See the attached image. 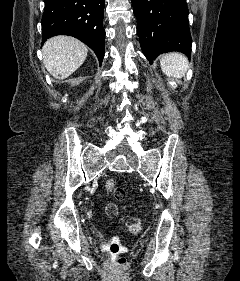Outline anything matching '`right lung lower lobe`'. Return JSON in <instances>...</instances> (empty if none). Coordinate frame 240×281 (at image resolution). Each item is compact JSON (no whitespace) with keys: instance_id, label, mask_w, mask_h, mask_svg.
I'll use <instances>...</instances> for the list:
<instances>
[{"instance_id":"1","label":"right lung lower lobe","mask_w":240,"mask_h":281,"mask_svg":"<svg viewBox=\"0 0 240 281\" xmlns=\"http://www.w3.org/2000/svg\"><path fill=\"white\" fill-rule=\"evenodd\" d=\"M42 39L55 35L73 36L88 45L100 64L104 57L103 28L105 0H44Z\"/></svg>"}]
</instances>
